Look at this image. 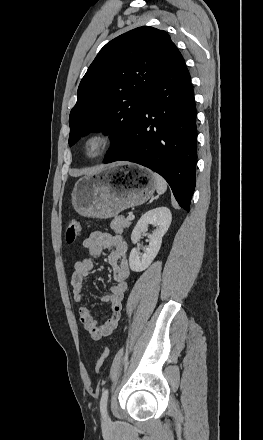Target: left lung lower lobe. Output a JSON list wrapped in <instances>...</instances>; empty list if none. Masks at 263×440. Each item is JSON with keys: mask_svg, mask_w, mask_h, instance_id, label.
<instances>
[{"mask_svg": "<svg viewBox=\"0 0 263 440\" xmlns=\"http://www.w3.org/2000/svg\"><path fill=\"white\" fill-rule=\"evenodd\" d=\"M196 138L190 74L175 47L137 115L130 147L105 158L104 163L130 161L157 172L179 205L189 211L196 184Z\"/></svg>", "mask_w": 263, "mask_h": 440, "instance_id": "0a47b994", "label": "left lung lower lobe"}]
</instances>
